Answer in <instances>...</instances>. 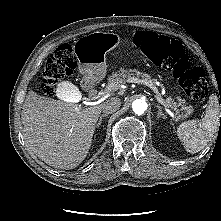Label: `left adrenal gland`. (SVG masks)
Listing matches in <instances>:
<instances>
[{
  "label": "left adrenal gland",
  "mask_w": 221,
  "mask_h": 221,
  "mask_svg": "<svg viewBox=\"0 0 221 221\" xmlns=\"http://www.w3.org/2000/svg\"><path fill=\"white\" fill-rule=\"evenodd\" d=\"M157 108H158V114H157V117L160 118V117H163L165 118L163 112H162V109L159 105H157Z\"/></svg>",
  "instance_id": "obj_1"
}]
</instances>
